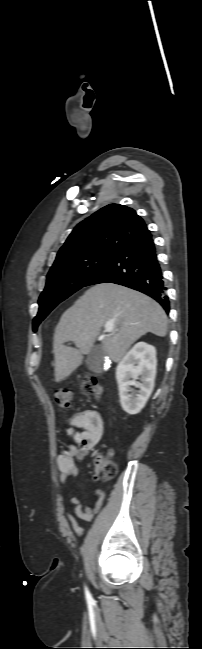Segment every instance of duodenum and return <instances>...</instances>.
<instances>
[{
	"mask_svg": "<svg viewBox=\"0 0 202 649\" xmlns=\"http://www.w3.org/2000/svg\"><path fill=\"white\" fill-rule=\"evenodd\" d=\"M102 394V390L98 389L95 393L96 397H100Z\"/></svg>",
	"mask_w": 202,
	"mask_h": 649,
	"instance_id": "1",
	"label": "duodenum"
}]
</instances>
